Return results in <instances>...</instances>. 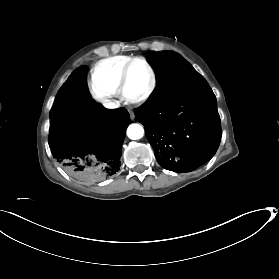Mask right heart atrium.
<instances>
[{"label":"right heart atrium","instance_id":"d8ad5b80","mask_svg":"<svg viewBox=\"0 0 279 279\" xmlns=\"http://www.w3.org/2000/svg\"><path fill=\"white\" fill-rule=\"evenodd\" d=\"M91 91L94 99L103 105H107L112 98V94L100 86L93 85Z\"/></svg>","mask_w":279,"mask_h":279}]
</instances>
